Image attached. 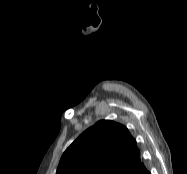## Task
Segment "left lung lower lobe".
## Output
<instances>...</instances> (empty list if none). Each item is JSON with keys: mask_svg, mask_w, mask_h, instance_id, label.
Returning a JSON list of instances; mask_svg holds the SVG:
<instances>
[{"mask_svg": "<svg viewBox=\"0 0 187 174\" xmlns=\"http://www.w3.org/2000/svg\"><path fill=\"white\" fill-rule=\"evenodd\" d=\"M136 174H150V172L147 171L146 168H144V169L141 170V171H137Z\"/></svg>", "mask_w": 187, "mask_h": 174, "instance_id": "1", "label": "left lung lower lobe"}]
</instances>
